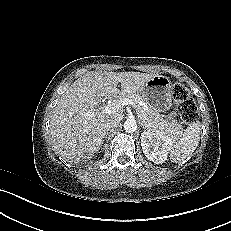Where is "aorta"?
Returning <instances> with one entry per match:
<instances>
[{
    "label": "aorta",
    "mask_w": 231,
    "mask_h": 231,
    "mask_svg": "<svg viewBox=\"0 0 231 231\" xmlns=\"http://www.w3.org/2000/svg\"><path fill=\"white\" fill-rule=\"evenodd\" d=\"M124 130L127 132V133H133L137 130V123L134 119H127L125 122H124Z\"/></svg>",
    "instance_id": "1"
}]
</instances>
